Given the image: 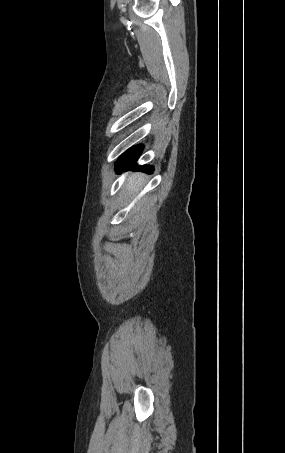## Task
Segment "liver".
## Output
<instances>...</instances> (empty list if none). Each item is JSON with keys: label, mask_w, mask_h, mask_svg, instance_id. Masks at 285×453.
I'll return each instance as SVG.
<instances>
[{"label": "liver", "mask_w": 285, "mask_h": 453, "mask_svg": "<svg viewBox=\"0 0 285 453\" xmlns=\"http://www.w3.org/2000/svg\"><path fill=\"white\" fill-rule=\"evenodd\" d=\"M143 185V178L140 174L135 173L132 174L129 178L127 183L125 184V189L132 195H135L139 192Z\"/></svg>", "instance_id": "1"}]
</instances>
